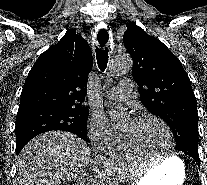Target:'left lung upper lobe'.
Wrapping results in <instances>:
<instances>
[{
  "label": "left lung upper lobe",
  "instance_id": "5c2ea615",
  "mask_svg": "<svg viewBox=\"0 0 207 185\" xmlns=\"http://www.w3.org/2000/svg\"><path fill=\"white\" fill-rule=\"evenodd\" d=\"M123 43L133 59L141 103L169 125L179 151L198 154L196 97L180 60L135 23L127 24Z\"/></svg>",
  "mask_w": 207,
  "mask_h": 185
}]
</instances>
